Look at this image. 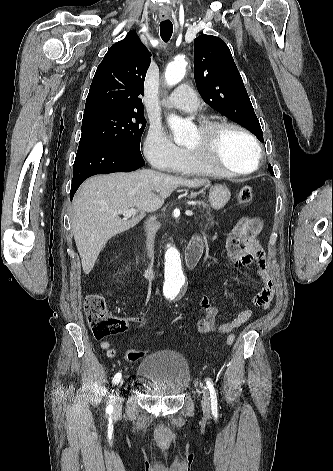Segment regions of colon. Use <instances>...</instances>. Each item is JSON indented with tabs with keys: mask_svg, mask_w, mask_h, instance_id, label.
<instances>
[{
	"mask_svg": "<svg viewBox=\"0 0 333 471\" xmlns=\"http://www.w3.org/2000/svg\"><path fill=\"white\" fill-rule=\"evenodd\" d=\"M253 191L250 186H244L238 193V201L242 205L251 202ZM84 312L87 318L89 328L93 336L98 339H104L111 335L122 333L126 328L124 319L113 316L109 313L105 299L98 294H90L84 301ZM235 335L230 334L226 339L228 346L232 345ZM145 356V352L128 348L125 357L130 362H136Z\"/></svg>",
	"mask_w": 333,
	"mask_h": 471,
	"instance_id": "5ec220e1",
	"label": "colon"
}]
</instances>
